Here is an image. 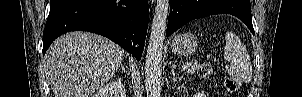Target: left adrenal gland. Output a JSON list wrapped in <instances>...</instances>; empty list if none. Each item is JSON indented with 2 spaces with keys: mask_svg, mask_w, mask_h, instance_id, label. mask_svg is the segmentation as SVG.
I'll return each mask as SVG.
<instances>
[{
  "mask_svg": "<svg viewBox=\"0 0 302 97\" xmlns=\"http://www.w3.org/2000/svg\"><path fill=\"white\" fill-rule=\"evenodd\" d=\"M172 82L175 83L176 81L180 80L181 77H179L175 72H174V69H172Z\"/></svg>",
  "mask_w": 302,
  "mask_h": 97,
  "instance_id": "1",
  "label": "left adrenal gland"
}]
</instances>
